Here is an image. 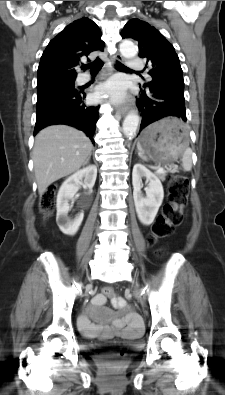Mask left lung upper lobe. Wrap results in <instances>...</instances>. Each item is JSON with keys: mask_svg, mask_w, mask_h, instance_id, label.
<instances>
[{"mask_svg": "<svg viewBox=\"0 0 225 395\" xmlns=\"http://www.w3.org/2000/svg\"><path fill=\"white\" fill-rule=\"evenodd\" d=\"M122 38H132L139 42V57L151 63L152 81L145 84L148 90L184 89L183 71L174 47L166 38L147 22L131 19L124 26Z\"/></svg>", "mask_w": 225, "mask_h": 395, "instance_id": "left-lung-upper-lobe-1", "label": "left lung upper lobe"}]
</instances>
